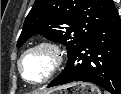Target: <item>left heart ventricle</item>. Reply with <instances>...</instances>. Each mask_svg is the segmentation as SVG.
<instances>
[{
    "label": "left heart ventricle",
    "instance_id": "obj_1",
    "mask_svg": "<svg viewBox=\"0 0 121 94\" xmlns=\"http://www.w3.org/2000/svg\"><path fill=\"white\" fill-rule=\"evenodd\" d=\"M49 67V57L42 51L29 54L22 62L24 76L31 81H38L43 78Z\"/></svg>",
    "mask_w": 121,
    "mask_h": 94
}]
</instances>
